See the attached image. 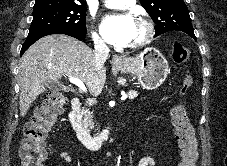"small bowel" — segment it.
Here are the masks:
<instances>
[{"mask_svg": "<svg viewBox=\"0 0 227 166\" xmlns=\"http://www.w3.org/2000/svg\"><path fill=\"white\" fill-rule=\"evenodd\" d=\"M60 158L65 162H71L73 160V156L69 154L67 151H61L59 154ZM154 160L150 156L143 157L137 164V166H153Z\"/></svg>", "mask_w": 227, "mask_h": 166, "instance_id": "c3829d8e", "label": "small bowel"}]
</instances>
